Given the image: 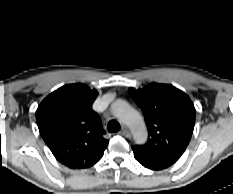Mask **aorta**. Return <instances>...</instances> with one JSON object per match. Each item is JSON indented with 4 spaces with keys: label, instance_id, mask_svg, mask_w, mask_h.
Segmentation results:
<instances>
[{
    "label": "aorta",
    "instance_id": "obj_1",
    "mask_svg": "<svg viewBox=\"0 0 233 194\" xmlns=\"http://www.w3.org/2000/svg\"><path fill=\"white\" fill-rule=\"evenodd\" d=\"M112 110L122 122L129 126L137 143H143L147 139V129L141 115L132 109L124 100H117L112 105Z\"/></svg>",
    "mask_w": 233,
    "mask_h": 194
}]
</instances>
